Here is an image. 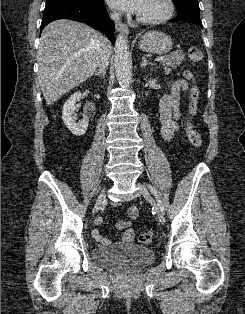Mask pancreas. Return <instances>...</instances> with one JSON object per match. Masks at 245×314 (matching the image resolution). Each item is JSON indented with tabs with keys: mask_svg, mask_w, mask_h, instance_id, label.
<instances>
[{
	"mask_svg": "<svg viewBox=\"0 0 245 314\" xmlns=\"http://www.w3.org/2000/svg\"><path fill=\"white\" fill-rule=\"evenodd\" d=\"M184 55L180 51H175L163 60L164 71L170 73L172 69H176L184 59Z\"/></svg>",
	"mask_w": 245,
	"mask_h": 314,
	"instance_id": "pancreas-1",
	"label": "pancreas"
}]
</instances>
